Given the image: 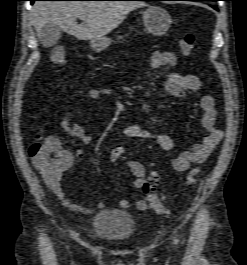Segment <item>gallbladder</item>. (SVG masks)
Here are the masks:
<instances>
[{
	"instance_id": "gallbladder-1",
	"label": "gallbladder",
	"mask_w": 247,
	"mask_h": 265,
	"mask_svg": "<svg viewBox=\"0 0 247 265\" xmlns=\"http://www.w3.org/2000/svg\"><path fill=\"white\" fill-rule=\"evenodd\" d=\"M62 34V29L55 24H46L39 33V40L44 47L55 46Z\"/></svg>"
}]
</instances>
